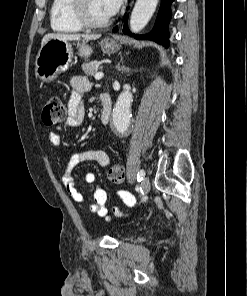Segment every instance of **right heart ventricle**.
<instances>
[{"instance_id":"e07e8e85","label":"right heart ventricle","mask_w":247,"mask_h":296,"mask_svg":"<svg viewBox=\"0 0 247 296\" xmlns=\"http://www.w3.org/2000/svg\"><path fill=\"white\" fill-rule=\"evenodd\" d=\"M72 0H52L50 8V26L58 33H77L82 30L71 15Z\"/></svg>"}]
</instances>
